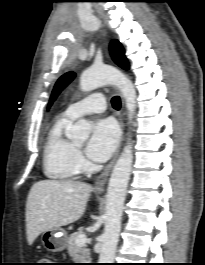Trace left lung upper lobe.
I'll return each mask as SVG.
<instances>
[{"mask_svg":"<svg viewBox=\"0 0 205 265\" xmlns=\"http://www.w3.org/2000/svg\"><path fill=\"white\" fill-rule=\"evenodd\" d=\"M110 52H111V56H112L114 62L117 65H119L121 68H123L125 70L129 69L128 60L125 57L124 49H123V47L119 41L113 40L111 42ZM74 77H75L74 72H68L58 79V81L56 82L54 89L52 91V95L50 97L48 107H50L52 105V103L55 101V99L59 95V93L74 79Z\"/></svg>","mask_w":205,"mask_h":265,"instance_id":"5c2ea615","label":"left lung upper lobe"}]
</instances>
